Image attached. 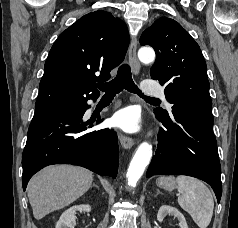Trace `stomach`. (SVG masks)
Segmentation results:
<instances>
[{"mask_svg": "<svg viewBox=\"0 0 238 228\" xmlns=\"http://www.w3.org/2000/svg\"><path fill=\"white\" fill-rule=\"evenodd\" d=\"M158 187L172 191L176 188V181L174 177H159L156 181Z\"/></svg>", "mask_w": 238, "mask_h": 228, "instance_id": "1", "label": "stomach"}]
</instances>
